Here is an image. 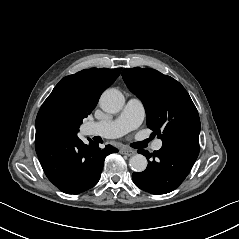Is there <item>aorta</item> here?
<instances>
[{"label":"aorta","mask_w":239,"mask_h":239,"mask_svg":"<svg viewBox=\"0 0 239 239\" xmlns=\"http://www.w3.org/2000/svg\"><path fill=\"white\" fill-rule=\"evenodd\" d=\"M125 103L124 95L117 89H107L100 97L99 104L103 111L114 114L118 113ZM130 168L135 172H143L147 167V159L136 154L129 160Z\"/></svg>","instance_id":"obj_1"}]
</instances>
